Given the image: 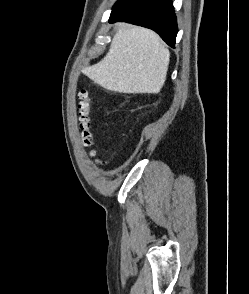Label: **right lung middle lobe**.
I'll use <instances>...</instances> for the list:
<instances>
[{
    "label": "right lung middle lobe",
    "mask_w": 249,
    "mask_h": 294,
    "mask_svg": "<svg viewBox=\"0 0 249 294\" xmlns=\"http://www.w3.org/2000/svg\"><path fill=\"white\" fill-rule=\"evenodd\" d=\"M124 0H119L116 4H115V6H117L118 4H120V3H122Z\"/></svg>",
    "instance_id": "right-lung-middle-lobe-1"
}]
</instances>
